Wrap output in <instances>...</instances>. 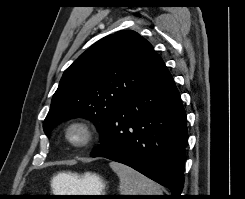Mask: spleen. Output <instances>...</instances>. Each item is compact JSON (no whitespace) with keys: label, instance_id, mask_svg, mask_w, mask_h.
<instances>
[{"label":"spleen","instance_id":"3e777b00","mask_svg":"<svg viewBox=\"0 0 245 199\" xmlns=\"http://www.w3.org/2000/svg\"><path fill=\"white\" fill-rule=\"evenodd\" d=\"M109 165L119 177L121 195H162L158 184L129 166L117 162H110Z\"/></svg>","mask_w":245,"mask_h":199}]
</instances>
